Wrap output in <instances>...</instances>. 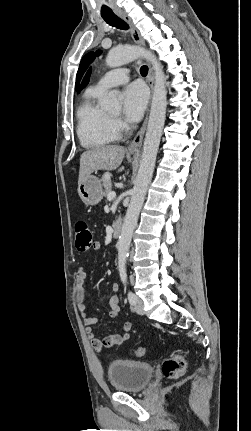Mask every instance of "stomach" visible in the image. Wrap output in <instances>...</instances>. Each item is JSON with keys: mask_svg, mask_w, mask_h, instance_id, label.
I'll use <instances>...</instances> for the list:
<instances>
[{"mask_svg": "<svg viewBox=\"0 0 251 431\" xmlns=\"http://www.w3.org/2000/svg\"><path fill=\"white\" fill-rule=\"evenodd\" d=\"M78 194L86 205H96L103 198L101 180L94 175H89L78 185Z\"/></svg>", "mask_w": 251, "mask_h": 431, "instance_id": "obj_1", "label": "stomach"}]
</instances>
